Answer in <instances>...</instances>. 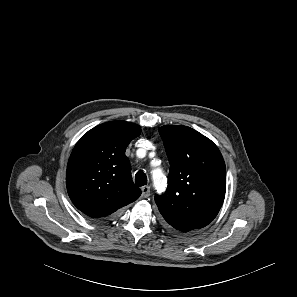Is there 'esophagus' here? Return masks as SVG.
Returning a JSON list of instances; mask_svg holds the SVG:
<instances>
[{"instance_id":"esophagus-1","label":"esophagus","mask_w":297,"mask_h":297,"mask_svg":"<svg viewBox=\"0 0 297 297\" xmlns=\"http://www.w3.org/2000/svg\"><path fill=\"white\" fill-rule=\"evenodd\" d=\"M142 191V197L147 198L150 195V187L149 186H144L141 188Z\"/></svg>"}]
</instances>
